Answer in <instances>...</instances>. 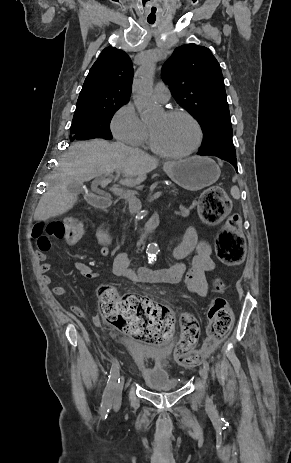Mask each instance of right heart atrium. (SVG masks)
Returning <instances> with one entry per match:
<instances>
[{"mask_svg": "<svg viewBox=\"0 0 291 463\" xmlns=\"http://www.w3.org/2000/svg\"><path fill=\"white\" fill-rule=\"evenodd\" d=\"M113 136L131 146H142L148 138V131L134 105L127 102L113 115L110 123Z\"/></svg>", "mask_w": 291, "mask_h": 463, "instance_id": "obj_1", "label": "right heart atrium"}]
</instances>
